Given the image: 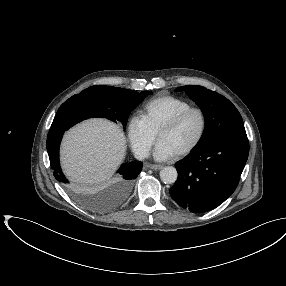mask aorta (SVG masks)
Masks as SVG:
<instances>
[{
    "label": "aorta",
    "mask_w": 286,
    "mask_h": 286,
    "mask_svg": "<svg viewBox=\"0 0 286 286\" xmlns=\"http://www.w3.org/2000/svg\"><path fill=\"white\" fill-rule=\"evenodd\" d=\"M177 170L172 166L164 167L160 171V178L164 183L172 184L177 180Z\"/></svg>",
    "instance_id": "obj_1"
}]
</instances>
